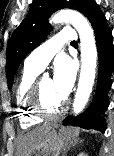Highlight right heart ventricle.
Wrapping results in <instances>:
<instances>
[{"instance_id": "obj_1", "label": "right heart ventricle", "mask_w": 114, "mask_h": 156, "mask_svg": "<svg viewBox=\"0 0 114 156\" xmlns=\"http://www.w3.org/2000/svg\"><path fill=\"white\" fill-rule=\"evenodd\" d=\"M40 72V69L25 64L16 85V113L20 126L24 129L36 125L42 119L32 111L29 105L30 91Z\"/></svg>"}]
</instances>
